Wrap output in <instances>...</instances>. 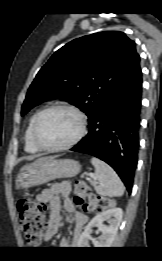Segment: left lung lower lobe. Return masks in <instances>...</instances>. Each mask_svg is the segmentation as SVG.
Returning <instances> with one entry per match:
<instances>
[{
    "instance_id": "obj_1",
    "label": "left lung lower lobe",
    "mask_w": 162,
    "mask_h": 261,
    "mask_svg": "<svg viewBox=\"0 0 162 261\" xmlns=\"http://www.w3.org/2000/svg\"><path fill=\"white\" fill-rule=\"evenodd\" d=\"M142 73L140 67L101 102L89 133L71 150L108 163L131 192L138 158Z\"/></svg>"
}]
</instances>
